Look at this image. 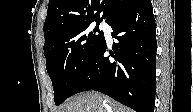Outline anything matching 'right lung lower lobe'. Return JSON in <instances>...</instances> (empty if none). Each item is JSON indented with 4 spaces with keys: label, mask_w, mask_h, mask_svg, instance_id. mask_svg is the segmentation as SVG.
<instances>
[{
    "label": "right lung lower lobe",
    "mask_w": 193,
    "mask_h": 112,
    "mask_svg": "<svg viewBox=\"0 0 193 112\" xmlns=\"http://www.w3.org/2000/svg\"><path fill=\"white\" fill-rule=\"evenodd\" d=\"M108 24L117 40L114 52L105 55L104 38L70 95L93 89L136 112H154L157 44L151 1L136 0Z\"/></svg>",
    "instance_id": "1"
}]
</instances>
